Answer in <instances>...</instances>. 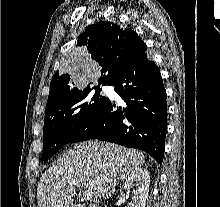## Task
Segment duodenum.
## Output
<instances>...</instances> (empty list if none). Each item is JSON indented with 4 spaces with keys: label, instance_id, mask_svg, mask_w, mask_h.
Returning a JSON list of instances; mask_svg holds the SVG:
<instances>
[{
    "label": "duodenum",
    "instance_id": "obj_1",
    "mask_svg": "<svg viewBox=\"0 0 220 207\" xmlns=\"http://www.w3.org/2000/svg\"><path fill=\"white\" fill-rule=\"evenodd\" d=\"M76 207H85V206H83V205H78V206H76ZM89 207H98V206H89Z\"/></svg>",
    "mask_w": 220,
    "mask_h": 207
}]
</instances>
